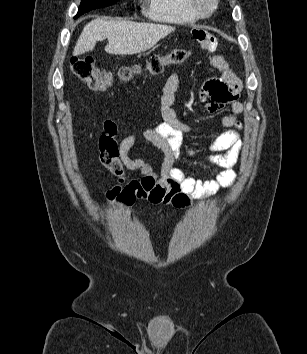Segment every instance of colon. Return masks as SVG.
<instances>
[{
	"label": "colon",
	"mask_w": 307,
	"mask_h": 354,
	"mask_svg": "<svg viewBox=\"0 0 307 354\" xmlns=\"http://www.w3.org/2000/svg\"><path fill=\"white\" fill-rule=\"evenodd\" d=\"M188 57L189 52L187 50L181 48L174 49L167 54L151 56L144 65L123 67L117 73V77L121 81L127 82L144 71L157 75L166 66L182 63ZM71 70L80 81L95 90L105 89L113 80L112 73L98 67L91 57L73 58L71 60Z\"/></svg>",
	"instance_id": "5ec220e1"
}]
</instances>
